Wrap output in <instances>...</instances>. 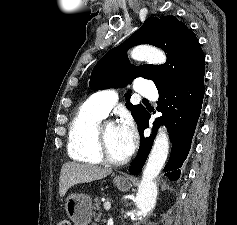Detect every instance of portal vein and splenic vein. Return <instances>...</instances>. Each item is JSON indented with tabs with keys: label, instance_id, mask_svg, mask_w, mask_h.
Returning a JSON list of instances; mask_svg holds the SVG:
<instances>
[{
	"label": "portal vein and splenic vein",
	"instance_id": "1",
	"mask_svg": "<svg viewBox=\"0 0 237 225\" xmlns=\"http://www.w3.org/2000/svg\"><path fill=\"white\" fill-rule=\"evenodd\" d=\"M111 208V203L109 201L104 202V209L106 211H109Z\"/></svg>",
	"mask_w": 237,
	"mask_h": 225
}]
</instances>
